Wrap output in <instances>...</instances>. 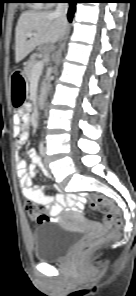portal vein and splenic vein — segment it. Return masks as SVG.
I'll list each match as a JSON object with an SVG mask.
<instances>
[{
	"label": "portal vein and splenic vein",
	"instance_id": "18ae733b",
	"mask_svg": "<svg viewBox=\"0 0 136 296\" xmlns=\"http://www.w3.org/2000/svg\"><path fill=\"white\" fill-rule=\"evenodd\" d=\"M34 34H35V33L30 32V33L27 34V36H28V37H32ZM42 69H43V61L40 60V61H38V62L36 63V65L34 66L32 74H33L34 76H39V75L41 74V72H42Z\"/></svg>",
	"mask_w": 136,
	"mask_h": 296
}]
</instances>
